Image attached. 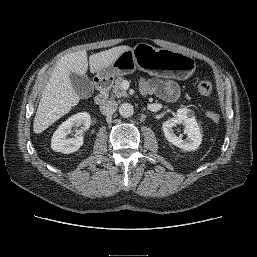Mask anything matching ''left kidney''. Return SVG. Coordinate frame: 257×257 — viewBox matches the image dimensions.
I'll use <instances>...</instances> for the list:
<instances>
[{
  "instance_id": "1",
  "label": "left kidney",
  "mask_w": 257,
  "mask_h": 257,
  "mask_svg": "<svg viewBox=\"0 0 257 257\" xmlns=\"http://www.w3.org/2000/svg\"><path fill=\"white\" fill-rule=\"evenodd\" d=\"M177 124L183 125L184 133L187 135L185 139L175 134L173 127ZM162 129L169 142L185 151L196 150L201 144L202 135L200 128L193 111L190 109H178L177 114L173 118L163 122Z\"/></svg>"
}]
</instances>
